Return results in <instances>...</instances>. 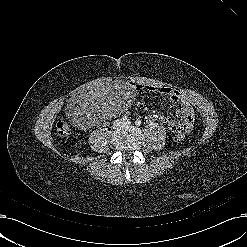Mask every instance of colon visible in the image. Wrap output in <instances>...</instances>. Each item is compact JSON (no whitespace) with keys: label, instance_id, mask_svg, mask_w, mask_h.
Listing matches in <instances>:
<instances>
[{"label":"colon","instance_id":"colon-1","mask_svg":"<svg viewBox=\"0 0 247 247\" xmlns=\"http://www.w3.org/2000/svg\"><path fill=\"white\" fill-rule=\"evenodd\" d=\"M56 131L60 136H67L70 133V126L64 119H60L56 123ZM175 137L177 140H182L185 137V131L176 130Z\"/></svg>","mask_w":247,"mask_h":247}]
</instances>
